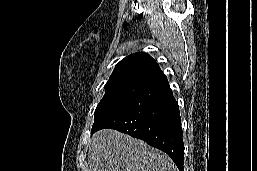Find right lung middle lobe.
<instances>
[{"label":"right lung middle lobe","instance_id":"right-lung-middle-lobe-1","mask_svg":"<svg viewBox=\"0 0 257 171\" xmlns=\"http://www.w3.org/2000/svg\"><path fill=\"white\" fill-rule=\"evenodd\" d=\"M146 90H148L146 86L136 88L105 87V94L95 110L91 133L116 111Z\"/></svg>","mask_w":257,"mask_h":171}]
</instances>
